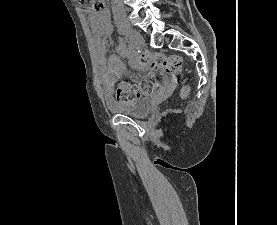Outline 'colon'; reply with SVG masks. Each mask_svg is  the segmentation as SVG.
<instances>
[{
    "mask_svg": "<svg viewBox=\"0 0 277 225\" xmlns=\"http://www.w3.org/2000/svg\"><path fill=\"white\" fill-rule=\"evenodd\" d=\"M78 2L93 12H99L103 8L101 0H78ZM137 64L141 67H151L152 72L138 84L125 82L118 86L116 98L120 102L134 103L143 95L155 94L163 85L165 74L179 75L182 71V59L178 55L166 56L160 53L145 52L140 56ZM189 92L190 89L184 87L180 95L186 97Z\"/></svg>",
    "mask_w": 277,
    "mask_h": 225,
    "instance_id": "colon-1",
    "label": "colon"
}]
</instances>
